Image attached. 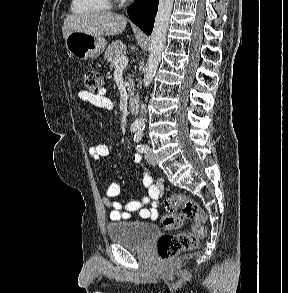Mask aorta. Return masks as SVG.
<instances>
[{
  "label": "aorta",
  "instance_id": "762f6f07",
  "mask_svg": "<svg viewBox=\"0 0 288 293\" xmlns=\"http://www.w3.org/2000/svg\"><path fill=\"white\" fill-rule=\"evenodd\" d=\"M173 3L174 0H159L154 28L151 34V43L149 47L150 54L143 79V85L145 87H148L151 84L159 66L170 23ZM134 125L138 130H143L145 128V121L142 118H138Z\"/></svg>",
  "mask_w": 288,
  "mask_h": 293
}]
</instances>
